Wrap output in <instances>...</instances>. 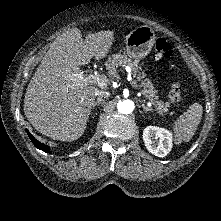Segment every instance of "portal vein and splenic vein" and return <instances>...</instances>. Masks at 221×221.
I'll use <instances>...</instances> for the list:
<instances>
[{"label":"portal vein and splenic vein","instance_id":"portal-vein-and-splenic-vein-1","mask_svg":"<svg viewBox=\"0 0 221 221\" xmlns=\"http://www.w3.org/2000/svg\"><path fill=\"white\" fill-rule=\"evenodd\" d=\"M78 82L85 83V84H98V86H100V87H104L107 85L106 79L103 76L97 75V74H89L87 77L80 74L78 76ZM130 84L133 87H135L134 81H130Z\"/></svg>","mask_w":221,"mask_h":221}]
</instances>
